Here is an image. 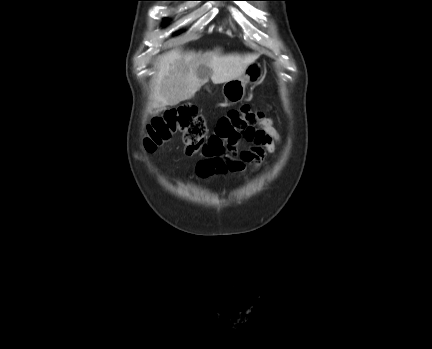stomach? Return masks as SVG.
Returning <instances> with one entry per match:
<instances>
[{
  "label": "stomach",
  "mask_w": 432,
  "mask_h": 349,
  "mask_svg": "<svg viewBox=\"0 0 432 349\" xmlns=\"http://www.w3.org/2000/svg\"><path fill=\"white\" fill-rule=\"evenodd\" d=\"M262 73L261 65L252 63L241 77L225 82L222 87L225 100L232 104L242 101L245 96L246 85L257 83L262 77Z\"/></svg>",
  "instance_id": "1"
}]
</instances>
